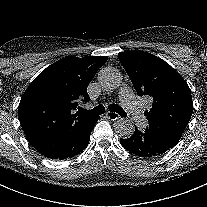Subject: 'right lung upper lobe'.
Masks as SVG:
<instances>
[{"label": "right lung upper lobe", "instance_id": "right-lung-upper-lobe-1", "mask_svg": "<svg viewBox=\"0 0 207 207\" xmlns=\"http://www.w3.org/2000/svg\"><path fill=\"white\" fill-rule=\"evenodd\" d=\"M106 56L66 57L44 69L19 104V119L30 144L40 153L56 146L70 129L90 116L74 110L89 101L87 86Z\"/></svg>", "mask_w": 207, "mask_h": 207}]
</instances>
